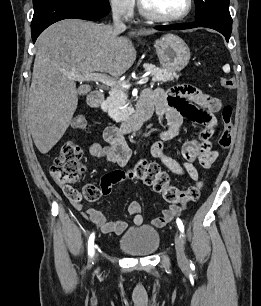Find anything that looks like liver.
Instances as JSON below:
<instances>
[{
  "label": "liver",
  "mask_w": 261,
  "mask_h": 306,
  "mask_svg": "<svg viewBox=\"0 0 261 306\" xmlns=\"http://www.w3.org/2000/svg\"><path fill=\"white\" fill-rule=\"evenodd\" d=\"M153 29L132 31L129 36L150 35ZM122 33V32H120ZM111 25L80 19H64L48 27L37 39L28 103V127L38 150L48 153L69 127L78 96L91 86L78 89L71 75L106 72L123 75L135 62L136 51L126 36Z\"/></svg>",
  "instance_id": "obj_1"
}]
</instances>
